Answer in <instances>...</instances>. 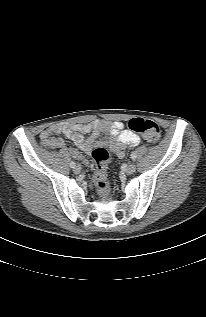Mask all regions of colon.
<instances>
[{
  "label": "colon",
  "mask_w": 206,
  "mask_h": 317,
  "mask_svg": "<svg viewBox=\"0 0 206 317\" xmlns=\"http://www.w3.org/2000/svg\"><path fill=\"white\" fill-rule=\"evenodd\" d=\"M128 128L143 136L145 140L155 143L160 138V128L152 120L136 117L128 122ZM92 157L95 163L94 180L97 187L101 191L107 189V174L106 169L109 162V153L103 147H98L93 150Z\"/></svg>",
  "instance_id": "colon-1"
}]
</instances>
